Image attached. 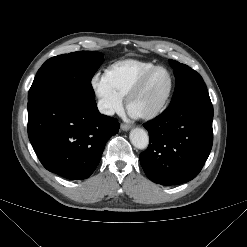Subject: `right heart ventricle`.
Masks as SVG:
<instances>
[{
    "label": "right heart ventricle",
    "mask_w": 247,
    "mask_h": 247,
    "mask_svg": "<svg viewBox=\"0 0 247 247\" xmlns=\"http://www.w3.org/2000/svg\"><path fill=\"white\" fill-rule=\"evenodd\" d=\"M154 63L135 59H124L111 64L106 69L113 88L122 96H127L138 80Z\"/></svg>",
    "instance_id": "right-heart-ventricle-1"
}]
</instances>
